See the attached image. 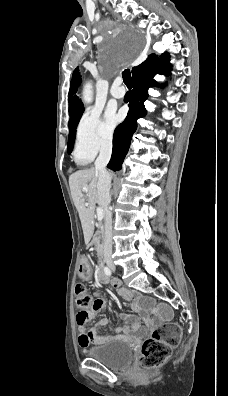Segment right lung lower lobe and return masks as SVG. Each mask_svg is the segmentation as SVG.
<instances>
[{
    "label": "right lung lower lobe",
    "mask_w": 228,
    "mask_h": 396,
    "mask_svg": "<svg viewBox=\"0 0 228 396\" xmlns=\"http://www.w3.org/2000/svg\"><path fill=\"white\" fill-rule=\"evenodd\" d=\"M169 55L163 54L159 59L157 55L151 54L143 63L138 65L132 72L134 88L125 95L124 101L129 103L130 110L126 119L118 125L113 138V150L108 168L113 171L121 169V165L127 154L132 135L137 127V119L146 115L144 106L148 98V88L155 85L153 77L159 74H169Z\"/></svg>",
    "instance_id": "1"
}]
</instances>
